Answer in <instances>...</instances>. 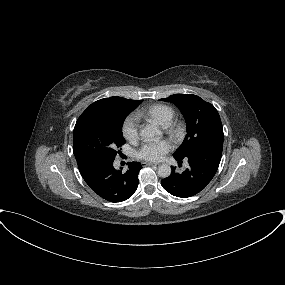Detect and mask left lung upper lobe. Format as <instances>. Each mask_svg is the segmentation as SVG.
Listing matches in <instances>:
<instances>
[{"instance_id":"left-lung-upper-lobe-1","label":"left lung upper lobe","mask_w":285,"mask_h":285,"mask_svg":"<svg viewBox=\"0 0 285 285\" xmlns=\"http://www.w3.org/2000/svg\"><path fill=\"white\" fill-rule=\"evenodd\" d=\"M161 100L174 103L186 120L187 135L173 156L184 158L207 145L223 144L222 123L212 104L192 94H174Z\"/></svg>"}]
</instances>
